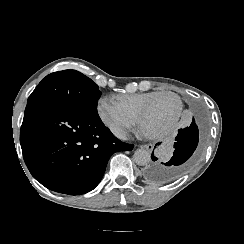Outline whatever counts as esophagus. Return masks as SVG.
I'll return each instance as SVG.
<instances>
[{"label": "esophagus", "instance_id": "obj_1", "mask_svg": "<svg viewBox=\"0 0 244 244\" xmlns=\"http://www.w3.org/2000/svg\"><path fill=\"white\" fill-rule=\"evenodd\" d=\"M140 148L152 152L154 145L152 143H149V144L141 145Z\"/></svg>", "mask_w": 244, "mask_h": 244}]
</instances>
